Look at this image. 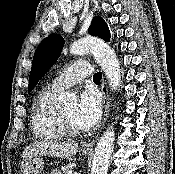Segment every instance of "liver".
Returning a JSON list of instances; mask_svg holds the SVG:
<instances>
[{
  "label": "liver",
  "mask_w": 175,
  "mask_h": 174,
  "mask_svg": "<svg viewBox=\"0 0 175 174\" xmlns=\"http://www.w3.org/2000/svg\"><path fill=\"white\" fill-rule=\"evenodd\" d=\"M78 149L79 145L76 143L42 141L27 146L22 153V157L23 160H29L35 156L45 155L65 159L76 155Z\"/></svg>",
  "instance_id": "1"
}]
</instances>
